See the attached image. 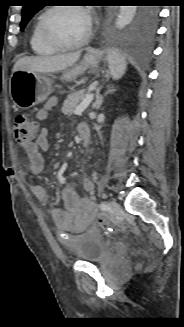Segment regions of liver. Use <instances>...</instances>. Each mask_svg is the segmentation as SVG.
Here are the masks:
<instances>
[{
  "instance_id": "1",
  "label": "liver",
  "mask_w": 184,
  "mask_h": 327,
  "mask_svg": "<svg viewBox=\"0 0 184 327\" xmlns=\"http://www.w3.org/2000/svg\"><path fill=\"white\" fill-rule=\"evenodd\" d=\"M81 52L56 55L23 57L16 61L13 73L17 70H26L35 73H54L74 65L80 58Z\"/></svg>"
}]
</instances>
